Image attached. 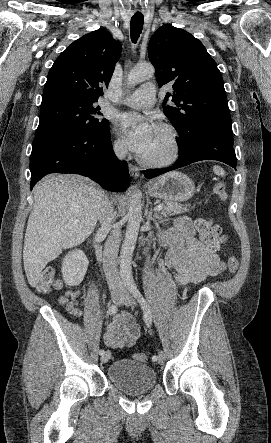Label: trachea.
Masks as SVG:
<instances>
[{
    "instance_id": "3493384b",
    "label": "trachea",
    "mask_w": 271,
    "mask_h": 443,
    "mask_svg": "<svg viewBox=\"0 0 271 443\" xmlns=\"http://www.w3.org/2000/svg\"><path fill=\"white\" fill-rule=\"evenodd\" d=\"M131 3H136L137 0H130ZM134 17L131 18L130 22V33H131V39L132 42L136 43L138 40L142 30H143V24H144V17L141 15V11L137 10L134 13Z\"/></svg>"
}]
</instances>
